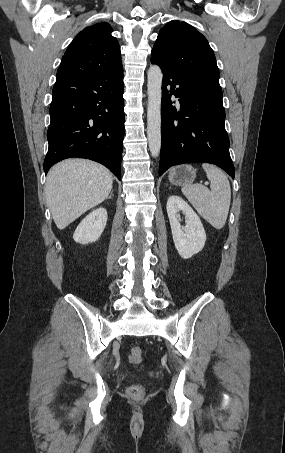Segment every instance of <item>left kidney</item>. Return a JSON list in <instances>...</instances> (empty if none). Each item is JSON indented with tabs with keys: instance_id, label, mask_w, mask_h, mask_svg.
Masks as SVG:
<instances>
[{
	"instance_id": "5707ae66",
	"label": "left kidney",
	"mask_w": 285,
	"mask_h": 453,
	"mask_svg": "<svg viewBox=\"0 0 285 453\" xmlns=\"http://www.w3.org/2000/svg\"><path fill=\"white\" fill-rule=\"evenodd\" d=\"M166 208L175 247L183 259L191 258L205 245L206 233L203 224L195 211L179 196H170ZM179 212L186 217L184 228L180 224Z\"/></svg>"
}]
</instances>
